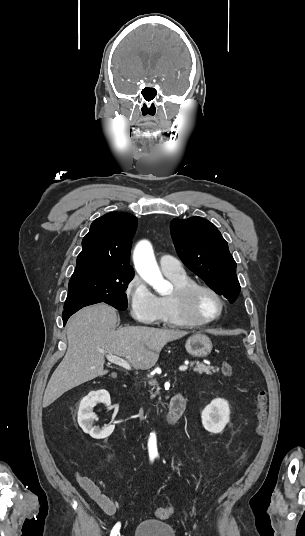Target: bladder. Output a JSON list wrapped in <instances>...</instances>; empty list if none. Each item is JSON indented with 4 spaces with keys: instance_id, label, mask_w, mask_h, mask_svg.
<instances>
[{
    "instance_id": "bladder-1",
    "label": "bladder",
    "mask_w": 305,
    "mask_h": 536,
    "mask_svg": "<svg viewBox=\"0 0 305 536\" xmlns=\"http://www.w3.org/2000/svg\"><path fill=\"white\" fill-rule=\"evenodd\" d=\"M133 536H175V529L167 520L146 518L135 525Z\"/></svg>"
}]
</instances>
